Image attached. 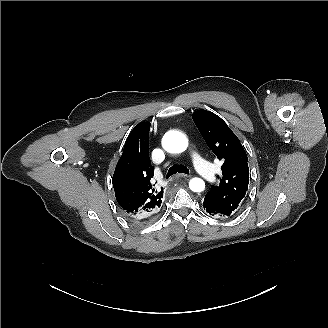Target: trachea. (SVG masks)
I'll use <instances>...</instances> for the list:
<instances>
[{
    "label": "trachea",
    "mask_w": 328,
    "mask_h": 328,
    "mask_svg": "<svg viewBox=\"0 0 328 328\" xmlns=\"http://www.w3.org/2000/svg\"><path fill=\"white\" fill-rule=\"evenodd\" d=\"M177 172L189 174V170L186 166L175 164L169 168L166 177L169 178L170 176L176 174Z\"/></svg>",
    "instance_id": "1"
}]
</instances>
